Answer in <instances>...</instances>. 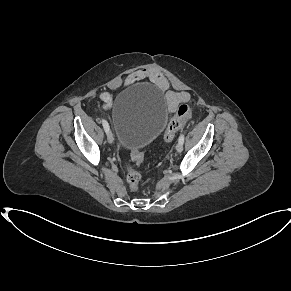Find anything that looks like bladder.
I'll list each match as a JSON object with an SVG mask.
<instances>
[{
	"instance_id": "obj_1",
	"label": "bladder",
	"mask_w": 291,
	"mask_h": 291,
	"mask_svg": "<svg viewBox=\"0 0 291 291\" xmlns=\"http://www.w3.org/2000/svg\"><path fill=\"white\" fill-rule=\"evenodd\" d=\"M167 119L162 94L148 85L127 87L112 106V124L122 149H144L160 134Z\"/></svg>"
}]
</instances>
